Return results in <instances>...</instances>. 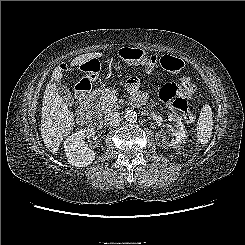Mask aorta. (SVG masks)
Instances as JSON below:
<instances>
[{
    "instance_id": "obj_1",
    "label": "aorta",
    "mask_w": 245,
    "mask_h": 245,
    "mask_svg": "<svg viewBox=\"0 0 245 245\" xmlns=\"http://www.w3.org/2000/svg\"><path fill=\"white\" fill-rule=\"evenodd\" d=\"M125 118L130 123H135L137 121V113L133 110H130L126 113Z\"/></svg>"
}]
</instances>
